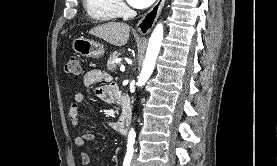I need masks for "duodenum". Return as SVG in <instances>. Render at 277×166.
Wrapping results in <instances>:
<instances>
[{"label":"duodenum","instance_id":"1","mask_svg":"<svg viewBox=\"0 0 277 166\" xmlns=\"http://www.w3.org/2000/svg\"><path fill=\"white\" fill-rule=\"evenodd\" d=\"M117 101L120 105V115L117 122V128L120 132L126 133L129 129L131 120V105L128 98L124 95H117Z\"/></svg>","mask_w":277,"mask_h":166}]
</instances>
